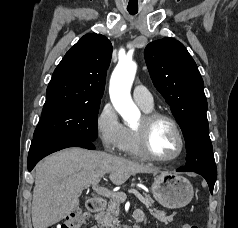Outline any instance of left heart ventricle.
<instances>
[{"instance_id": "obj_1", "label": "left heart ventricle", "mask_w": 238, "mask_h": 228, "mask_svg": "<svg viewBox=\"0 0 238 228\" xmlns=\"http://www.w3.org/2000/svg\"><path fill=\"white\" fill-rule=\"evenodd\" d=\"M142 123V118L137 126ZM150 147L153 153L162 158L174 156L179 148V141L173 127L166 121L157 122L150 133Z\"/></svg>"}]
</instances>
